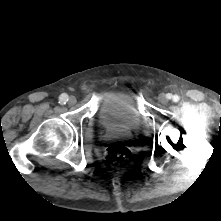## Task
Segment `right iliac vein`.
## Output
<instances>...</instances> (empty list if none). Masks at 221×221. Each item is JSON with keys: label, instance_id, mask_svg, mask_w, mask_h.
I'll return each mask as SVG.
<instances>
[{"label": "right iliac vein", "instance_id": "1", "mask_svg": "<svg viewBox=\"0 0 221 221\" xmlns=\"http://www.w3.org/2000/svg\"><path fill=\"white\" fill-rule=\"evenodd\" d=\"M76 102H77L76 97H74V96H70V97H69L68 103H69L70 105H74Z\"/></svg>", "mask_w": 221, "mask_h": 221}]
</instances>
